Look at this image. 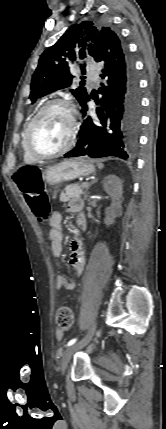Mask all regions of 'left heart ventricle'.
<instances>
[{
  "instance_id": "left-heart-ventricle-1",
  "label": "left heart ventricle",
  "mask_w": 166,
  "mask_h": 429,
  "mask_svg": "<svg viewBox=\"0 0 166 429\" xmlns=\"http://www.w3.org/2000/svg\"><path fill=\"white\" fill-rule=\"evenodd\" d=\"M70 118L64 107L49 109L39 119L32 135L33 148L42 154L61 149L68 141Z\"/></svg>"
}]
</instances>
